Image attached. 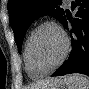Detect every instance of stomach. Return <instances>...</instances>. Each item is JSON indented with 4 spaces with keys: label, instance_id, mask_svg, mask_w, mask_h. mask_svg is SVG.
<instances>
[{
    "label": "stomach",
    "instance_id": "1",
    "mask_svg": "<svg viewBox=\"0 0 89 89\" xmlns=\"http://www.w3.org/2000/svg\"><path fill=\"white\" fill-rule=\"evenodd\" d=\"M39 89H72V88L64 79H59V82L57 84L51 85L47 88H39Z\"/></svg>",
    "mask_w": 89,
    "mask_h": 89
}]
</instances>
